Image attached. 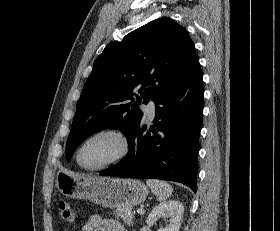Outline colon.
I'll use <instances>...</instances> for the list:
<instances>
[{"instance_id":"1","label":"colon","mask_w":280,"mask_h":231,"mask_svg":"<svg viewBox=\"0 0 280 231\" xmlns=\"http://www.w3.org/2000/svg\"><path fill=\"white\" fill-rule=\"evenodd\" d=\"M56 212L61 214L60 220H64V225H72L75 216L72 215L73 209L70 207L69 203L65 199H61L56 209Z\"/></svg>"}]
</instances>
